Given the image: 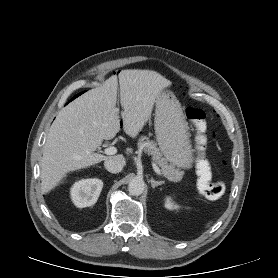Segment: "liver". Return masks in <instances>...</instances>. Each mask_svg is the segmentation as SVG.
Returning <instances> with one entry per match:
<instances>
[{
  "mask_svg": "<svg viewBox=\"0 0 278 278\" xmlns=\"http://www.w3.org/2000/svg\"><path fill=\"white\" fill-rule=\"evenodd\" d=\"M118 78L123 128L136 138L150 118L158 94L171 83L150 70H122ZM117 88L118 79L113 75L60 110L44 147L40 175L43 193L59 185L69 172L107 159L126 164L122 154L108 157L95 153L103 140L113 139L120 130Z\"/></svg>",
  "mask_w": 278,
  "mask_h": 278,
  "instance_id": "obj_1",
  "label": "liver"
}]
</instances>
